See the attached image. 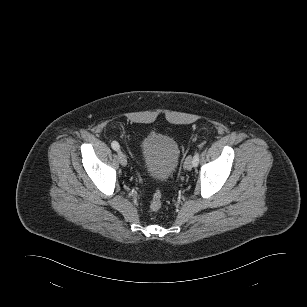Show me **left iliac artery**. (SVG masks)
<instances>
[{
  "instance_id": "44dca946",
  "label": "left iliac artery",
  "mask_w": 307,
  "mask_h": 307,
  "mask_svg": "<svg viewBox=\"0 0 307 307\" xmlns=\"http://www.w3.org/2000/svg\"><path fill=\"white\" fill-rule=\"evenodd\" d=\"M199 163V152H196L193 156L192 164L196 167Z\"/></svg>"
}]
</instances>
